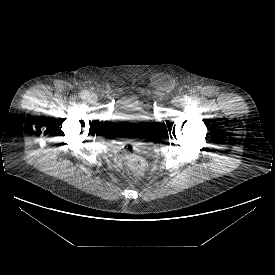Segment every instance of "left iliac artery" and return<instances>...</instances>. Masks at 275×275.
<instances>
[{
    "mask_svg": "<svg viewBox=\"0 0 275 275\" xmlns=\"http://www.w3.org/2000/svg\"><path fill=\"white\" fill-rule=\"evenodd\" d=\"M191 97H189V96H184V102L185 103H191Z\"/></svg>",
    "mask_w": 275,
    "mask_h": 275,
    "instance_id": "44dca946",
    "label": "left iliac artery"
}]
</instances>
